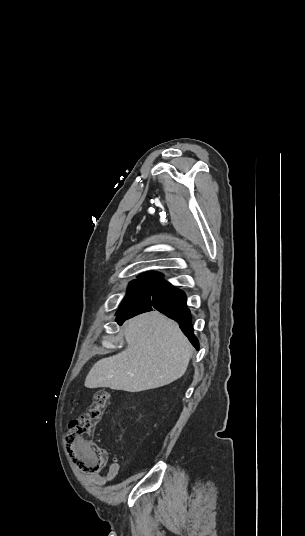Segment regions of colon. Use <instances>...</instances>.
<instances>
[{
	"mask_svg": "<svg viewBox=\"0 0 305 536\" xmlns=\"http://www.w3.org/2000/svg\"><path fill=\"white\" fill-rule=\"evenodd\" d=\"M110 395L107 391L95 393L93 402L85 414L80 415L70 423L68 435H63L62 444L68 453L72 471H87L97 473L107 471V453L103 447L95 446L90 436L98 425L108 406Z\"/></svg>",
	"mask_w": 305,
	"mask_h": 536,
	"instance_id": "5ec220e1",
	"label": "colon"
}]
</instances>
